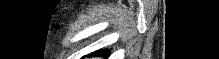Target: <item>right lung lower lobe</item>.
I'll return each instance as SVG.
<instances>
[{
    "label": "right lung lower lobe",
    "instance_id": "98d812e1",
    "mask_svg": "<svg viewBox=\"0 0 219 59\" xmlns=\"http://www.w3.org/2000/svg\"><path fill=\"white\" fill-rule=\"evenodd\" d=\"M90 55H103V56H108L109 55V53H108V51H106V50H99V51H96V52H93V53H91Z\"/></svg>",
    "mask_w": 219,
    "mask_h": 59
}]
</instances>
